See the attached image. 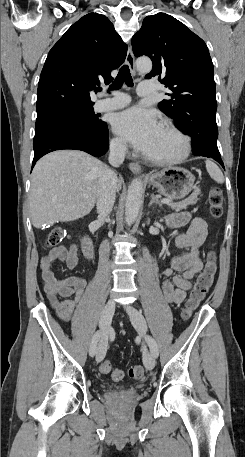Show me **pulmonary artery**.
Wrapping results in <instances>:
<instances>
[{"mask_svg":"<svg viewBox=\"0 0 245 457\" xmlns=\"http://www.w3.org/2000/svg\"><path fill=\"white\" fill-rule=\"evenodd\" d=\"M156 87L153 80H139L136 88L137 95H155ZM129 103V98L123 93L115 94L112 98H105L95 103L94 109L97 112L115 110L126 106Z\"/></svg>","mask_w":245,"mask_h":457,"instance_id":"obj_1","label":"pulmonary artery"}]
</instances>
